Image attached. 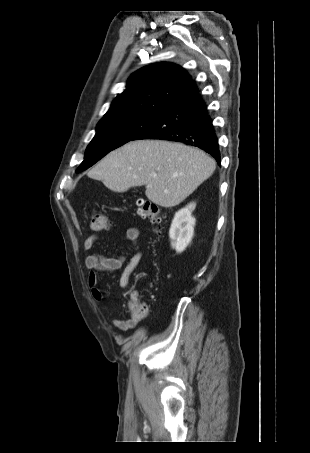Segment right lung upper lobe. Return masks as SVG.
I'll use <instances>...</instances> for the list:
<instances>
[{
	"mask_svg": "<svg viewBox=\"0 0 310 453\" xmlns=\"http://www.w3.org/2000/svg\"><path fill=\"white\" fill-rule=\"evenodd\" d=\"M196 83L180 66L161 62L133 73L124 92L113 101L104 115H160L172 104L197 90Z\"/></svg>",
	"mask_w": 310,
	"mask_h": 453,
	"instance_id": "1",
	"label": "right lung upper lobe"
}]
</instances>
